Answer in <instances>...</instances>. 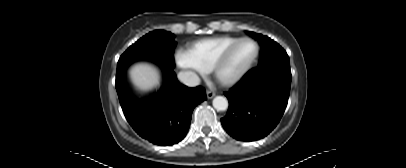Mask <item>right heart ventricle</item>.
I'll return each mask as SVG.
<instances>
[{
    "instance_id": "1",
    "label": "right heart ventricle",
    "mask_w": 406,
    "mask_h": 168,
    "mask_svg": "<svg viewBox=\"0 0 406 168\" xmlns=\"http://www.w3.org/2000/svg\"><path fill=\"white\" fill-rule=\"evenodd\" d=\"M237 38L230 36L204 38L187 45L185 53L203 72L211 71L218 56Z\"/></svg>"
}]
</instances>
